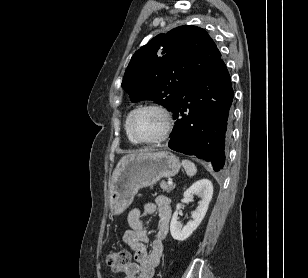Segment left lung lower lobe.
<instances>
[{
  "label": "left lung lower lobe",
  "instance_id": "0a47b994",
  "mask_svg": "<svg viewBox=\"0 0 308 278\" xmlns=\"http://www.w3.org/2000/svg\"><path fill=\"white\" fill-rule=\"evenodd\" d=\"M233 96L230 75L219 60L190 86L172 110L176 122L168 146L210 161L215 171L221 170L230 138Z\"/></svg>",
  "mask_w": 308,
  "mask_h": 278
}]
</instances>
